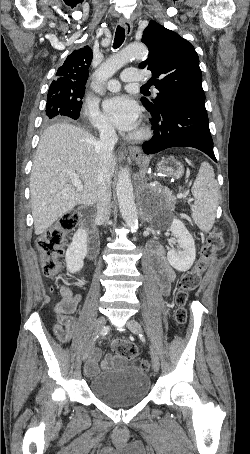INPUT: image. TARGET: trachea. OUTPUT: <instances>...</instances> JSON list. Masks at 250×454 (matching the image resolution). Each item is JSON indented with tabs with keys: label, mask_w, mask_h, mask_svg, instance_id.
I'll use <instances>...</instances> for the list:
<instances>
[{
	"label": "trachea",
	"mask_w": 250,
	"mask_h": 454,
	"mask_svg": "<svg viewBox=\"0 0 250 454\" xmlns=\"http://www.w3.org/2000/svg\"><path fill=\"white\" fill-rule=\"evenodd\" d=\"M125 40V29L121 26H118L115 33V39L113 43V48H119ZM143 89H149V86H142Z\"/></svg>",
	"instance_id": "3493384b"
}]
</instances>
